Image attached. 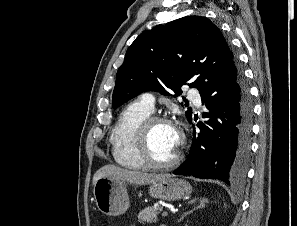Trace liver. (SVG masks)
I'll list each match as a JSON object with an SVG mask.
<instances>
[{"label": "liver", "instance_id": "1", "mask_svg": "<svg viewBox=\"0 0 297 226\" xmlns=\"http://www.w3.org/2000/svg\"><path fill=\"white\" fill-rule=\"evenodd\" d=\"M168 174H148L139 171H131L122 169L115 165H105L101 167L93 176V185L96 181L102 177H110L116 180L126 181L133 184H151L157 182L165 177H169Z\"/></svg>", "mask_w": 297, "mask_h": 226}]
</instances>
